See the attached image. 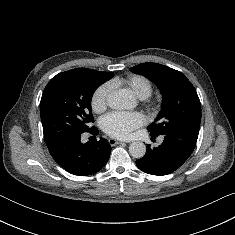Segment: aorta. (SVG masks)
I'll use <instances>...</instances> for the list:
<instances>
[{
    "label": "aorta",
    "mask_w": 235,
    "mask_h": 235,
    "mask_svg": "<svg viewBox=\"0 0 235 235\" xmlns=\"http://www.w3.org/2000/svg\"><path fill=\"white\" fill-rule=\"evenodd\" d=\"M107 102L109 107L115 110H124L131 105L129 97L122 92L110 94ZM129 153L132 157L140 159L146 154V146L140 141L132 142L129 146Z\"/></svg>",
    "instance_id": "aorta-1"
}]
</instances>
